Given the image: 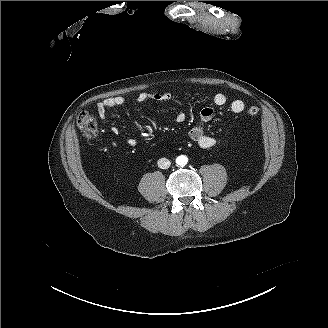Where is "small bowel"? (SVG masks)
Segmentation results:
<instances>
[{
  "label": "small bowel",
  "mask_w": 328,
  "mask_h": 328,
  "mask_svg": "<svg viewBox=\"0 0 328 328\" xmlns=\"http://www.w3.org/2000/svg\"><path fill=\"white\" fill-rule=\"evenodd\" d=\"M171 98V94L169 92H142L140 93L136 101L139 103L150 102V101H166ZM213 102L216 106H224L228 103V98L223 93H217L213 96ZM125 104V99L121 96L107 98L97 104V113L101 119L106 117V113L108 110L120 107ZM230 109L234 113L243 112L245 109V104L242 100L236 99L230 103ZM215 109L213 107H205L201 110L199 115L198 123L192 127L188 133V138L195 142L202 149H209L213 147L216 143L215 139L209 135L205 130V125L214 117ZM186 119V115L184 113H179L176 116L177 122H184ZM113 134H118V129L116 127H112L111 129ZM127 144L130 147L136 145V140L131 138L128 139Z\"/></svg>",
  "instance_id": "small-bowel-1"
}]
</instances>
